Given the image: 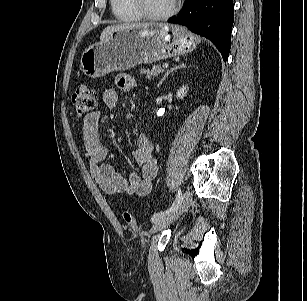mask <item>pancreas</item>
I'll return each instance as SVG.
<instances>
[{
	"label": "pancreas",
	"instance_id": "obj_1",
	"mask_svg": "<svg viewBox=\"0 0 307 301\" xmlns=\"http://www.w3.org/2000/svg\"><path fill=\"white\" fill-rule=\"evenodd\" d=\"M163 71L164 70L158 65H155L152 69H141V73L148 79L151 77H157Z\"/></svg>",
	"mask_w": 307,
	"mask_h": 301
}]
</instances>
